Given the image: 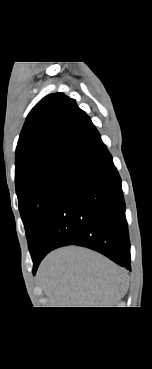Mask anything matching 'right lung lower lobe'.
Masks as SVG:
<instances>
[{
  "label": "right lung lower lobe",
  "instance_id": "98d812e1",
  "mask_svg": "<svg viewBox=\"0 0 152 369\" xmlns=\"http://www.w3.org/2000/svg\"><path fill=\"white\" fill-rule=\"evenodd\" d=\"M78 245L130 269V242L120 176L100 140L73 165L31 256L33 273L51 250Z\"/></svg>",
  "mask_w": 152,
  "mask_h": 369
}]
</instances>
